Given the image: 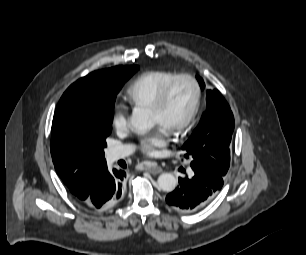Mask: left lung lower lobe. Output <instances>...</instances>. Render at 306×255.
I'll list each match as a JSON object with an SVG mask.
<instances>
[{"label":"left lung lower lobe","mask_w":306,"mask_h":255,"mask_svg":"<svg viewBox=\"0 0 306 255\" xmlns=\"http://www.w3.org/2000/svg\"><path fill=\"white\" fill-rule=\"evenodd\" d=\"M191 177L179 178V185L166 196L175 211L192 213L206 206L221 190L223 176L206 166H191ZM185 172L183 168L179 169Z\"/></svg>","instance_id":"obj_1"}]
</instances>
